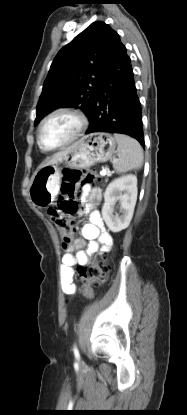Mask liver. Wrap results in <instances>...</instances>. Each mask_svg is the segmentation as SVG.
Returning a JSON list of instances; mask_svg holds the SVG:
<instances>
[{
  "instance_id": "liver-1",
  "label": "liver",
  "mask_w": 187,
  "mask_h": 415,
  "mask_svg": "<svg viewBox=\"0 0 187 415\" xmlns=\"http://www.w3.org/2000/svg\"><path fill=\"white\" fill-rule=\"evenodd\" d=\"M72 147H73V145L72 146H70V147H68V148H66V149H64V150H62V151H59V152H57V153H55L48 161H46V163L45 164H43L41 167H43V166H46V165H51V164H55V163H58V162H60L71 150H72Z\"/></svg>"
}]
</instances>
